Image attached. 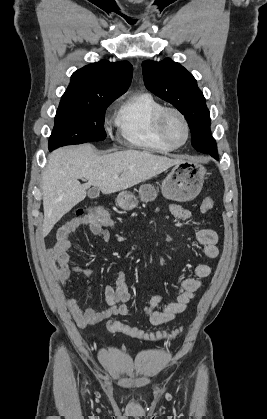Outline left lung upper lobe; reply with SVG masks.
<instances>
[{"label":"left lung upper lobe","instance_id":"5c2ea615","mask_svg":"<svg viewBox=\"0 0 267 419\" xmlns=\"http://www.w3.org/2000/svg\"><path fill=\"white\" fill-rule=\"evenodd\" d=\"M142 70L146 88L185 116L192 133V146L213 157L218 155L210 131V112L192 74L169 58L160 62L144 61Z\"/></svg>","mask_w":267,"mask_h":419}]
</instances>
